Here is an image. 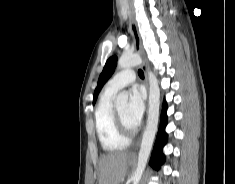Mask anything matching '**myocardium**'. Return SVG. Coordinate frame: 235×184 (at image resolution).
I'll return each instance as SVG.
<instances>
[{
  "mask_svg": "<svg viewBox=\"0 0 235 184\" xmlns=\"http://www.w3.org/2000/svg\"><path fill=\"white\" fill-rule=\"evenodd\" d=\"M114 117H115L116 128L123 138H125L126 140H132L133 138H135L137 136L139 129L138 128H134V129L127 128L124 125L117 110L114 111Z\"/></svg>",
  "mask_w": 235,
  "mask_h": 184,
  "instance_id": "myocardium-1",
  "label": "myocardium"
}]
</instances>
